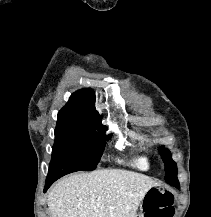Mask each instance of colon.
Masks as SVG:
<instances>
[{"label": "colon", "mask_w": 211, "mask_h": 217, "mask_svg": "<svg viewBox=\"0 0 211 217\" xmlns=\"http://www.w3.org/2000/svg\"><path fill=\"white\" fill-rule=\"evenodd\" d=\"M174 196L165 190L151 189L145 200V217H172Z\"/></svg>", "instance_id": "colon-1"}]
</instances>
